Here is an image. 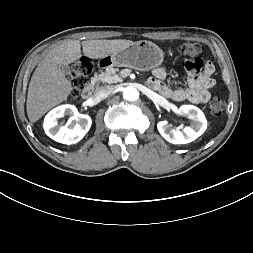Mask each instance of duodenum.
Wrapping results in <instances>:
<instances>
[{
	"instance_id": "410a0bca",
	"label": "duodenum",
	"mask_w": 253,
	"mask_h": 253,
	"mask_svg": "<svg viewBox=\"0 0 253 253\" xmlns=\"http://www.w3.org/2000/svg\"><path fill=\"white\" fill-rule=\"evenodd\" d=\"M95 85H96V78L84 88L82 92V96L84 99H89L92 96L95 89Z\"/></svg>"
}]
</instances>
